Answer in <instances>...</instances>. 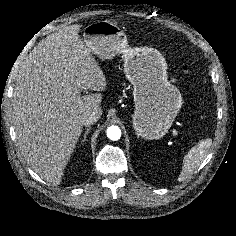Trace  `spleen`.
Here are the masks:
<instances>
[{
    "mask_svg": "<svg viewBox=\"0 0 236 236\" xmlns=\"http://www.w3.org/2000/svg\"><path fill=\"white\" fill-rule=\"evenodd\" d=\"M212 145V140L205 139L192 147L183 159L182 171L178 176V181L186 180L195 170L199 168Z\"/></svg>",
    "mask_w": 236,
    "mask_h": 236,
    "instance_id": "1",
    "label": "spleen"
}]
</instances>
